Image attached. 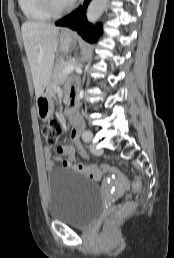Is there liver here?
<instances>
[{
	"instance_id": "liver-1",
	"label": "liver",
	"mask_w": 174,
	"mask_h": 258,
	"mask_svg": "<svg viewBox=\"0 0 174 258\" xmlns=\"http://www.w3.org/2000/svg\"><path fill=\"white\" fill-rule=\"evenodd\" d=\"M59 30V27L40 22L27 21L22 24V38L32 73L36 98L42 94L49 83Z\"/></svg>"
}]
</instances>
